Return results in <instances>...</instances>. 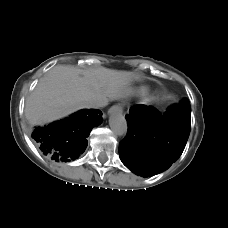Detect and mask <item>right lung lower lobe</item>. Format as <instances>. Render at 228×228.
<instances>
[{
	"instance_id": "1",
	"label": "right lung lower lobe",
	"mask_w": 228,
	"mask_h": 228,
	"mask_svg": "<svg viewBox=\"0 0 228 228\" xmlns=\"http://www.w3.org/2000/svg\"><path fill=\"white\" fill-rule=\"evenodd\" d=\"M101 116L100 110L82 109L65 119L32 129L31 137L53 160H74L84 152L86 138L91 129L102 122Z\"/></svg>"
}]
</instances>
